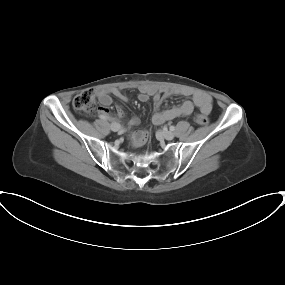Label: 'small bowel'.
Wrapping results in <instances>:
<instances>
[{
    "label": "small bowel",
    "instance_id": "small-bowel-1",
    "mask_svg": "<svg viewBox=\"0 0 285 285\" xmlns=\"http://www.w3.org/2000/svg\"><path fill=\"white\" fill-rule=\"evenodd\" d=\"M138 99L141 102H146L150 97L153 98L155 112L152 117L154 124L160 125L166 121L173 120L182 116H189L193 110L194 106H197L203 114H209L212 110V98L201 92H196L192 94V100H186L179 105L172 108L160 110V105L162 101L170 96L187 94L186 92L180 91L178 89L161 88L154 85H141L138 88ZM97 95L99 101L103 105L99 109V113L107 118H111V115L106 108L112 103L111 95L117 97L120 101L126 102L128 100L127 96L122 92L120 88H99L97 89ZM117 114L122 117L124 110L122 105L117 106ZM140 123L139 117H133L128 122V126H136ZM148 138V133L146 131H136L130 134V141L133 146H142Z\"/></svg>",
    "mask_w": 285,
    "mask_h": 285
}]
</instances>
